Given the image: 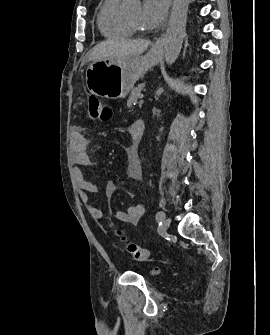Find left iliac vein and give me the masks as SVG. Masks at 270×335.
I'll return each instance as SVG.
<instances>
[{"label":"left iliac vein","instance_id":"1","mask_svg":"<svg viewBox=\"0 0 270 335\" xmlns=\"http://www.w3.org/2000/svg\"><path fill=\"white\" fill-rule=\"evenodd\" d=\"M171 220L170 218H166L163 222V230L166 231L168 230L169 226H170Z\"/></svg>","mask_w":270,"mask_h":335}]
</instances>
